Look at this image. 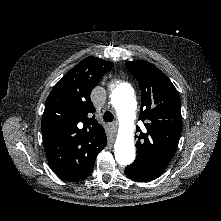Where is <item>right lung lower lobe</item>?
<instances>
[{"instance_id":"right-lung-lower-lobe-1","label":"right lung lower lobe","mask_w":221,"mask_h":221,"mask_svg":"<svg viewBox=\"0 0 221 221\" xmlns=\"http://www.w3.org/2000/svg\"><path fill=\"white\" fill-rule=\"evenodd\" d=\"M93 166H94V164L92 165V167H91V169H90V171H89V173H88V176H89L90 173L92 172ZM88 176H87V177H88Z\"/></svg>"}]
</instances>
